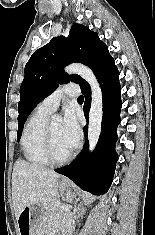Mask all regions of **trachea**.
Here are the masks:
<instances>
[{
  "label": "trachea",
  "instance_id": "obj_1",
  "mask_svg": "<svg viewBox=\"0 0 155 235\" xmlns=\"http://www.w3.org/2000/svg\"><path fill=\"white\" fill-rule=\"evenodd\" d=\"M83 100H84L83 96H79V97H78V101H79V102H83Z\"/></svg>",
  "mask_w": 155,
  "mask_h": 235
}]
</instances>
